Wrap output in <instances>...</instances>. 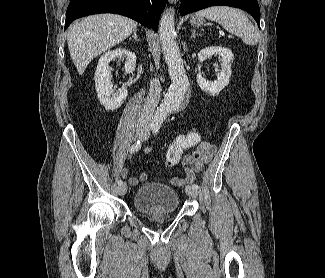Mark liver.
Here are the masks:
<instances>
[{"label": "liver", "instance_id": "1", "mask_svg": "<svg viewBox=\"0 0 325 278\" xmlns=\"http://www.w3.org/2000/svg\"><path fill=\"white\" fill-rule=\"evenodd\" d=\"M136 27V21L116 14L92 15L71 25L67 44L78 73L82 75L94 57L122 42Z\"/></svg>", "mask_w": 325, "mask_h": 278}]
</instances>
